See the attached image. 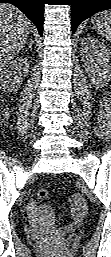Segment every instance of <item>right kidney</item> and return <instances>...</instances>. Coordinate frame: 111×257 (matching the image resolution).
I'll return each instance as SVG.
<instances>
[{"instance_id":"ca27d5eb","label":"right kidney","mask_w":111,"mask_h":257,"mask_svg":"<svg viewBox=\"0 0 111 257\" xmlns=\"http://www.w3.org/2000/svg\"><path fill=\"white\" fill-rule=\"evenodd\" d=\"M29 63L27 58H16L1 69V88L11 91L17 88L23 80V74L27 73Z\"/></svg>"}]
</instances>
